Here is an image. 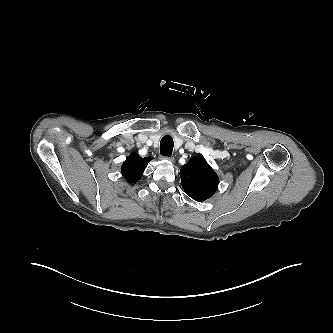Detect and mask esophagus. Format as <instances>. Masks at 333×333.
I'll list each match as a JSON object with an SVG mask.
<instances>
[{"mask_svg":"<svg viewBox=\"0 0 333 333\" xmlns=\"http://www.w3.org/2000/svg\"><path fill=\"white\" fill-rule=\"evenodd\" d=\"M161 159L168 160L170 162H174V157H168V156H160Z\"/></svg>","mask_w":333,"mask_h":333,"instance_id":"34e87169","label":"esophagus"}]
</instances>
